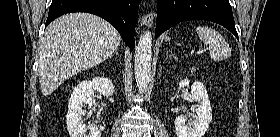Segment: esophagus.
Returning <instances> with one entry per match:
<instances>
[{"label": "esophagus", "mask_w": 280, "mask_h": 137, "mask_svg": "<svg viewBox=\"0 0 280 137\" xmlns=\"http://www.w3.org/2000/svg\"><path fill=\"white\" fill-rule=\"evenodd\" d=\"M154 16H155V13L153 11L148 14H145L142 16L141 22L144 25L151 26L154 21Z\"/></svg>", "instance_id": "obj_1"}]
</instances>
